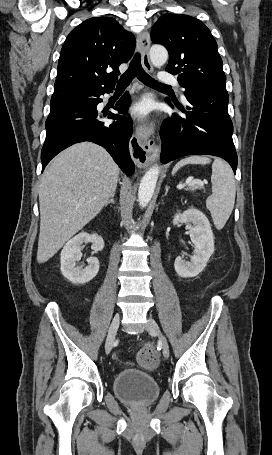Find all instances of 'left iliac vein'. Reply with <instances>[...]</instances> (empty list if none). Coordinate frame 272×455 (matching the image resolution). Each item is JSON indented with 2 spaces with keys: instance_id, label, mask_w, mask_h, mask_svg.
I'll use <instances>...</instances> for the list:
<instances>
[{
  "instance_id": "left-iliac-vein-1",
  "label": "left iliac vein",
  "mask_w": 272,
  "mask_h": 455,
  "mask_svg": "<svg viewBox=\"0 0 272 455\" xmlns=\"http://www.w3.org/2000/svg\"><path fill=\"white\" fill-rule=\"evenodd\" d=\"M147 329H148L149 333L154 334L159 337V340H160V343L162 346L163 355L166 359L169 358V355H170L169 344L167 342L166 337L161 332L158 324L153 319H149Z\"/></svg>"
}]
</instances>
